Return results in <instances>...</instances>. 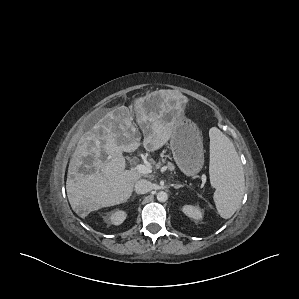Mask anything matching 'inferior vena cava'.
<instances>
[{
  "mask_svg": "<svg viewBox=\"0 0 299 299\" xmlns=\"http://www.w3.org/2000/svg\"><path fill=\"white\" fill-rule=\"evenodd\" d=\"M153 189V185L146 179H139L135 183V191L137 194H145Z\"/></svg>",
  "mask_w": 299,
  "mask_h": 299,
  "instance_id": "1",
  "label": "inferior vena cava"
}]
</instances>
